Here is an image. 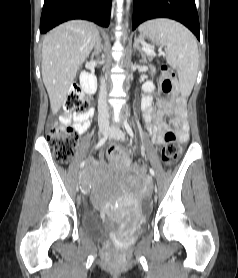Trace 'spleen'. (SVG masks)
<instances>
[{"label":"spleen","mask_w":238,"mask_h":278,"mask_svg":"<svg viewBox=\"0 0 238 278\" xmlns=\"http://www.w3.org/2000/svg\"><path fill=\"white\" fill-rule=\"evenodd\" d=\"M140 28H147L152 41L164 47L166 60L176 69L183 94L193 89L199 64L198 46L195 36L180 23L169 19L147 21Z\"/></svg>","instance_id":"1"}]
</instances>
